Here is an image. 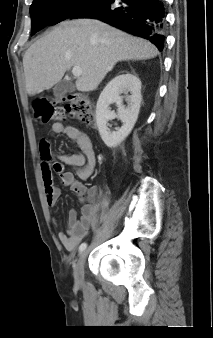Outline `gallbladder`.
Masks as SVG:
<instances>
[{"mask_svg":"<svg viewBox=\"0 0 213 338\" xmlns=\"http://www.w3.org/2000/svg\"><path fill=\"white\" fill-rule=\"evenodd\" d=\"M73 91H75L74 84L67 81V80H62V81L58 82L53 88L54 96L57 97V98H60L63 95H65L66 93H70V92H73Z\"/></svg>","mask_w":213,"mask_h":338,"instance_id":"bac80fb5","label":"gallbladder"}]
</instances>
